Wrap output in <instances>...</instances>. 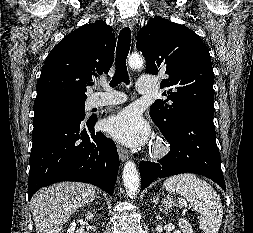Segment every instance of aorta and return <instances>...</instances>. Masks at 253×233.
Instances as JSON below:
<instances>
[{
  "label": "aorta",
  "instance_id": "1",
  "mask_svg": "<svg viewBox=\"0 0 253 233\" xmlns=\"http://www.w3.org/2000/svg\"><path fill=\"white\" fill-rule=\"evenodd\" d=\"M128 64L130 68L138 69L143 65V58L140 55L132 54L128 59ZM123 182L128 195L135 197L139 191L140 179L136 164L133 161H128L124 165Z\"/></svg>",
  "mask_w": 253,
  "mask_h": 233
}]
</instances>
